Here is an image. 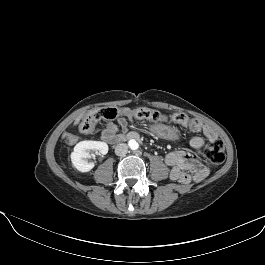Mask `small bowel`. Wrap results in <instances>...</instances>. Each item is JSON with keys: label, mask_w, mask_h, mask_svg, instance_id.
Segmentation results:
<instances>
[{"label": "small bowel", "mask_w": 265, "mask_h": 265, "mask_svg": "<svg viewBox=\"0 0 265 265\" xmlns=\"http://www.w3.org/2000/svg\"><path fill=\"white\" fill-rule=\"evenodd\" d=\"M137 120V118L127 114H120L116 118L123 133L128 131L129 122L136 123ZM191 120L193 121L192 126H186L190 131L201 132L209 141L218 138L213 128L196 119ZM122 136L123 134L114 122L106 123L101 130L102 139L109 143L119 142ZM204 142L203 137L197 136L191 139L190 146L197 154H201ZM165 163L170 168L171 179L179 183L189 184L191 182H201L209 175L207 165L202 160H199L198 156L194 153L186 151L169 152L165 156Z\"/></svg>", "instance_id": "obj_1"}]
</instances>
